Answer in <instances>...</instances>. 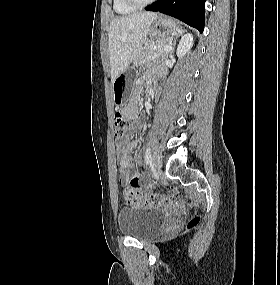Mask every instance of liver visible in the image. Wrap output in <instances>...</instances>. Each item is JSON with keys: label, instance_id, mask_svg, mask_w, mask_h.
<instances>
[{"label": "liver", "instance_id": "obj_1", "mask_svg": "<svg viewBox=\"0 0 280 285\" xmlns=\"http://www.w3.org/2000/svg\"><path fill=\"white\" fill-rule=\"evenodd\" d=\"M156 17V13L137 12L111 21L108 45L112 83L139 54Z\"/></svg>", "mask_w": 280, "mask_h": 285}]
</instances>
